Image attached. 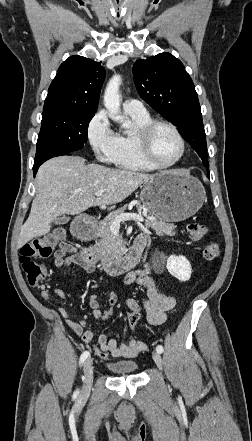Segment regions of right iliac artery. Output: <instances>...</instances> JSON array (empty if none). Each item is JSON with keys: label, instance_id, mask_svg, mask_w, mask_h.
<instances>
[{"label": "right iliac artery", "instance_id": "82829eb1", "mask_svg": "<svg viewBox=\"0 0 252 441\" xmlns=\"http://www.w3.org/2000/svg\"><path fill=\"white\" fill-rule=\"evenodd\" d=\"M88 356H89V352L88 351H85V352H83L81 354L80 359H79L80 365H82L84 363V361L87 359Z\"/></svg>", "mask_w": 252, "mask_h": 441}]
</instances>
